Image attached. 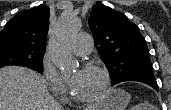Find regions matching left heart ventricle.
<instances>
[{
  "label": "left heart ventricle",
  "mask_w": 171,
  "mask_h": 110,
  "mask_svg": "<svg viewBox=\"0 0 171 110\" xmlns=\"http://www.w3.org/2000/svg\"><path fill=\"white\" fill-rule=\"evenodd\" d=\"M75 79L71 88L76 95L88 97L96 94L102 87L103 77L101 73L95 69H82L74 71L69 81Z\"/></svg>",
  "instance_id": "obj_1"
}]
</instances>
